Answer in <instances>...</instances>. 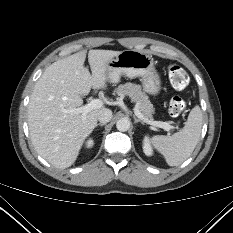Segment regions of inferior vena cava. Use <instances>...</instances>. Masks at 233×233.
Instances as JSON below:
<instances>
[{
    "instance_id": "602c4592",
    "label": "inferior vena cava",
    "mask_w": 233,
    "mask_h": 233,
    "mask_svg": "<svg viewBox=\"0 0 233 233\" xmlns=\"http://www.w3.org/2000/svg\"><path fill=\"white\" fill-rule=\"evenodd\" d=\"M112 111L110 109L107 108H103L102 110H100V112L98 113V120L101 123H107L112 119Z\"/></svg>"
}]
</instances>
